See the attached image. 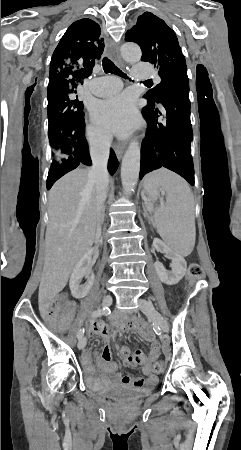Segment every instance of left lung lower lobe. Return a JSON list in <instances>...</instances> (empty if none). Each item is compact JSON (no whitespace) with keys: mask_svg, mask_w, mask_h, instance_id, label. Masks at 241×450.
I'll use <instances>...</instances> for the list:
<instances>
[{"mask_svg":"<svg viewBox=\"0 0 241 450\" xmlns=\"http://www.w3.org/2000/svg\"><path fill=\"white\" fill-rule=\"evenodd\" d=\"M160 103L166 115L163 123L159 121L162 113L156 103H149L142 110L148 127L142 142L140 179L150 171L165 167L194 185L189 89H171Z\"/></svg>","mask_w":241,"mask_h":450,"instance_id":"obj_1","label":"left lung lower lobe"}]
</instances>
